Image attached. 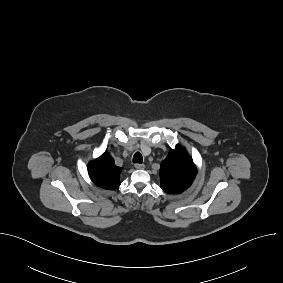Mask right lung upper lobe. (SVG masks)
<instances>
[{
    "label": "right lung upper lobe",
    "mask_w": 283,
    "mask_h": 283,
    "mask_svg": "<svg viewBox=\"0 0 283 283\" xmlns=\"http://www.w3.org/2000/svg\"><path fill=\"white\" fill-rule=\"evenodd\" d=\"M120 170L106 152L88 165V173L94 184L107 190H113L120 185Z\"/></svg>",
    "instance_id": "cb5924a9"
}]
</instances>
